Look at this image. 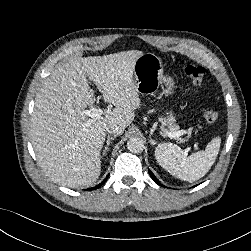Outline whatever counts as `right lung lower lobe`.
Listing matches in <instances>:
<instances>
[{
	"mask_svg": "<svg viewBox=\"0 0 251 251\" xmlns=\"http://www.w3.org/2000/svg\"><path fill=\"white\" fill-rule=\"evenodd\" d=\"M108 176L98 185V186H95L93 188H90V190H94V189H97L99 188L101 185H103L105 183V181L107 180Z\"/></svg>",
	"mask_w": 251,
	"mask_h": 251,
	"instance_id": "1",
	"label": "right lung lower lobe"
}]
</instances>
